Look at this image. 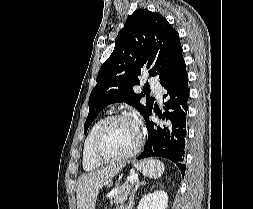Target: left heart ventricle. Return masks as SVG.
Returning a JSON list of instances; mask_svg holds the SVG:
<instances>
[{
	"label": "left heart ventricle",
	"mask_w": 253,
	"mask_h": 209,
	"mask_svg": "<svg viewBox=\"0 0 253 209\" xmlns=\"http://www.w3.org/2000/svg\"><path fill=\"white\" fill-rule=\"evenodd\" d=\"M136 141V125L130 120H117L105 130L99 149L104 156L119 157L128 153Z\"/></svg>",
	"instance_id": "1"
}]
</instances>
